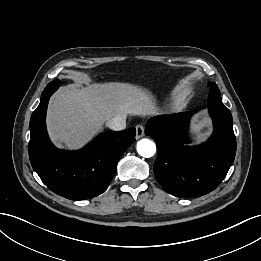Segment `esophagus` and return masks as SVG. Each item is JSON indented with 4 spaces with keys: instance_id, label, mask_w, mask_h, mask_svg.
<instances>
[{
    "instance_id": "34e87169",
    "label": "esophagus",
    "mask_w": 261,
    "mask_h": 261,
    "mask_svg": "<svg viewBox=\"0 0 261 261\" xmlns=\"http://www.w3.org/2000/svg\"><path fill=\"white\" fill-rule=\"evenodd\" d=\"M145 134V129L143 125L136 126V139L143 137Z\"/></svg>"
}]
</instances>
